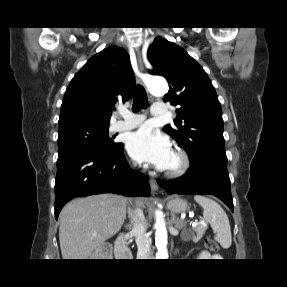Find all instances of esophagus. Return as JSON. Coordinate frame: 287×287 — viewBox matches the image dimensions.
Here are the masks:
<instances>
[{"label":"esophagus","mask_w":287,"mask_h":287,"mask_svg":"<svg viewBox=\"0 0 287 287\" xmlns=\"http://www.w3.org/2000/svg\"><path fill=\"white\" fill-rule=\"evenodd\" d=\"M137 64H138L137 81L138 83L144 85V66H143V62H142L139 51H137ZM149 184H150L152 192L156 193L159 188L157 181L154 178H151L149 180Z\"/></svg>","instance_id":"obj_1"}]
</instances>
